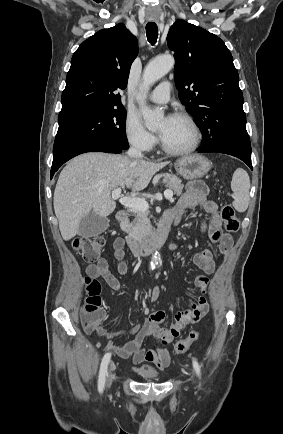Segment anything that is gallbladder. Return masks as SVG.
<instances>
[{"label": "gallbladder", "instance_id": "1", "mask_svg": "<svg viewBox=\"0 0 283 434\" xmlns=\"http://www.w3.org/2000/svg\"><path fill=\"white\" fill-rule=\"evenodd\" d=\"M108 226L109 219L107 217H102L95 212H90L80 221L78 234L84 238L97 236L104 232Z\"/></svg>", "mask_w": 283, "mask_h": 434}]
</instances>
